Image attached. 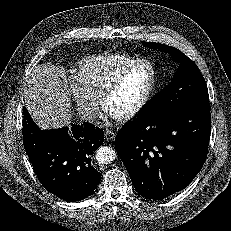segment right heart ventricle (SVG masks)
I'll return each mask as SVG.
<instances>
[{
	"label": "right heart ventricle",
	"instance_id": "1",
	"mask_svg": "<svg viewBox=\"0 0 231 231\" xmlns=\"http://www.w3.org/2000/svg\"><path fill=\"white\" fill-rule=\"evenodd\" d=\"M137 59L124 53L93 55L77 64L74 78L89 95L98 98L104 85L119 71Z\"/></svg>",
	"mask_w": 231,
	"mask_h": 231
}]
</instances>
